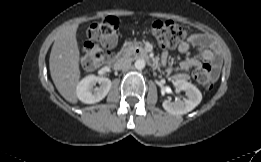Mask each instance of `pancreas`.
<instances>
[{
	"label": "pancreas",
	"mask_w": 261,
	"mask_h": 162,
	"mask_svg": "<svg viewBox=\"0 0 261 162\" xmlns=\"http://www.w3.org/2000/svg\"><path fill=\"white\" fill-rule=\"evenodd\" d=\"M139 50L140 52H143L144 49L142 47V43L141 42H129L126 44V46L122 49V54L124 55H133L135 54L136 50Z\"/></svg>",
	"instance_id": "cf45deb5"
}]
</instances>
